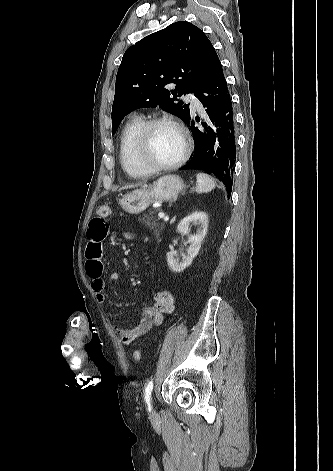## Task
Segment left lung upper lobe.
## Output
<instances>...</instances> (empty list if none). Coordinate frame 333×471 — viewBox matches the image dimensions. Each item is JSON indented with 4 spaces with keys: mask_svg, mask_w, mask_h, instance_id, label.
I'll return each mask as SVG.
<instances>
[{
    "mask_svg": "<svg viewBox=\"0 0 333 471\" xmlns=\"http://www.w3.org/2000/svg\"><path fill=\"white\" fill-rule=\"evenodd\" d=\"M205 33L179 21L129 47L117 72L112 106V133L131 111L156 107L190 119L189 104L177 99L196 92L216 56ZM176 84L174 90L166 85Z\"/></svg>",
    "mask_w": 333,
    "mask_h": 471,
    "instance_id": "1",
    "label": "left lung upper lobe"
}]
</instances>
